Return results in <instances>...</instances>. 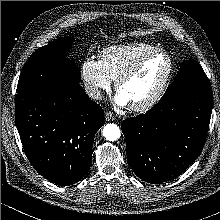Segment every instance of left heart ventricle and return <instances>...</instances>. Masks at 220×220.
<instances>
[{
  "label": "left heart ventricle",
  "instance_id": "obj_1",
  "mask_svg": "<svg viewBox=\"0 0 220 220\" xmlns=\"http://www.w3.org/2000/svg\"><path fill=\"white\" fill-rule=\"evenodd\" d=\"M169 69V60L163 54L149 58L132 78L125 81L119 92L130 105L148 99L161 85Z\"/></svg>",
  "mask_w": 220,
  "mask_h": 220
}]
</instances>
